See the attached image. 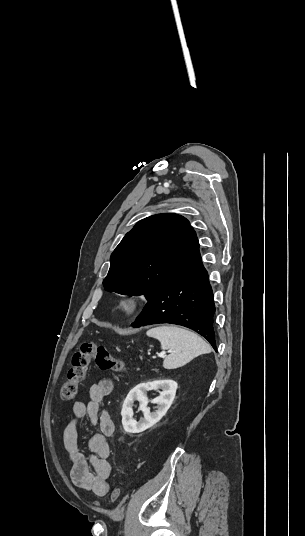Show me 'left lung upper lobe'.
<instances>
[{"label": "left lung upper lobe", "instance_id": "1", "mask_svg": "<svg viewBox=\"0 0 305 536\" xmlns=\"http://www.w3.org/2000/svg\"><path fill=\"white\" fill-rule=\"evenodd\" d=\"M199 255L198 238L186 218L153 215L139 221L116 247L103 285L122 295L144 294L149 301Z\"/></svg>", "mask_w": 305, "mask_h": 536}]
</instances>
